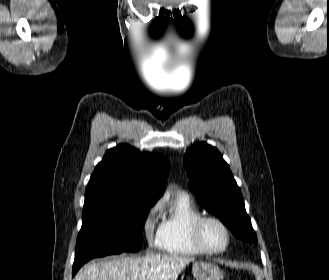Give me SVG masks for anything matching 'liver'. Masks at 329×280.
I'll return each instance as SVG.
<instances>
[{
	"label": "liver",
	"instance_id": "obj_1",
	"mask_svg": "<svg viewBox=\"0 0 329 280\" xmlns=\"http://www.w3.org/2000/svg\"><path fill=\"white\" fill-rule=\"evenodd\" d=\"M192 257L147 254L143 257H115L84 265L75 280H177Z\"/></svg>",
	"mask_w": 329,
	"mask_h": 280
}]
</instances>
